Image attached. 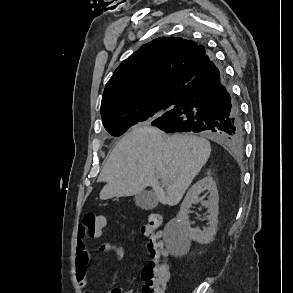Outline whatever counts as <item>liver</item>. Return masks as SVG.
<instances>
[{
  "label": "liver",
  "instance_id": "6515ba94",
  "mask_svg": "<svg viewBox=\"0 0 293 293\" xmlns=\"http://www.w3.org/2000/svg\"><path fill=\"white\" fill-rule=\"evenodd\" d=\"M210 154V143L204 138L166 136L158 128L137 125L120 139L105 162L98 178L106 182L100 199L133 196L151 187L160 203L175 206Z\"/></svg>",
  "mask_w": 293,
  "mask_h": 293
}]
</instances>
